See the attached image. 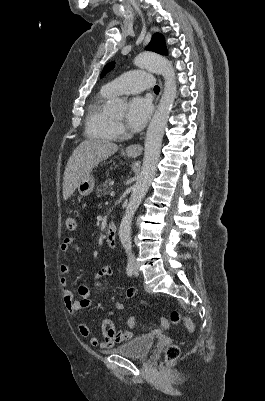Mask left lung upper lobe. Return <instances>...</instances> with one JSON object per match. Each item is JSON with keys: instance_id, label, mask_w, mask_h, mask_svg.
<instances>
[{"instance_id": "left-lung-upper-lobe-1", "label": "left lung upper lobe", "mask_w": 265, "mask_h": 401, "mask_svg": "<svg viewBox=\"0 0 265 401\" xmlns=\"http://www.w3.org/2000/svg\"><path fill=\"white\" fill-rule=\"evenodd\" d=\"M147 50L159 53L161 55H167V50L165 46V40L163 36L159 33H156L153 35L150 43L146 47ZM114 68V62L108 63L101 74V77H103L107 72H109L111 69Z\"/></svg>"}]
</instances>
